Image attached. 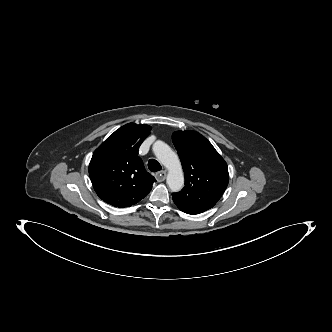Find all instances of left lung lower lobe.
<instances>
[{
    "label": "left lung lower lobe",
    "instance_id": "left-lung-lower-lobe-1",
    "mask_svg": "<svg viewBox=\"0 0 332 332\" xmlns=\"http://www.w3.org/2000/svg\"><path fill=\"white\" fill-rule=\"evenodd\" d=\"M175 204H176V206H177L181 211H183V212H185V213H187V214L196 215V214H199V213H200V212L192 211V210H190V209L184 207V206L181 205V204H177V203H175Z\"/></svg>",
    "mask_w": 332,
    "mask_h": 332
}]
</instances>
